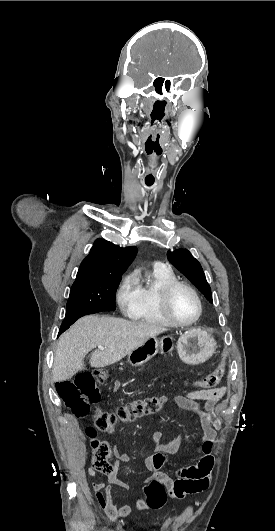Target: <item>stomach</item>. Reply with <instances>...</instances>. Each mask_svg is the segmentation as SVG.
<instances>
[{"label":"stomach","instance_id":"0dacf381","mask_svg":"<svg viewBox=\"0 0 275 531\" xmlns=\"http://www.w3.org/2000/svg\"><path fill=\"white\" fill-rule=\"evenodd\" d=\"M173 349L174 339L169 337V335H165L161 339L150 337L142 345L135 347L128 353L127 361L132 367H141V365L150 361L152 357H155L157 353L166 355V353H171ZM177 351L179 359L186 365H201V363H205L214 355L216 341L212 335H209L203 329H189L178 339Z\"/></svg>","mask_w":275,"mask_h":531}]
</instances>
